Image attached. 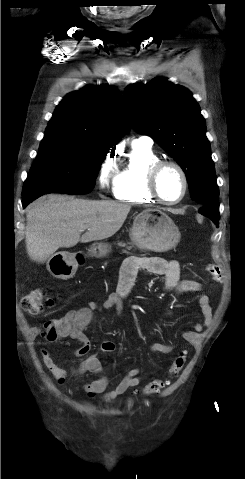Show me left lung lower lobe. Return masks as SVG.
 Instances as JSON below:
<instances>
[{
  "label": "left lung lower lobe",
  "instance_id": "obj_1",
  "mask_svg": "<svg viewBox=\"0 0 245 479\" xmlns=\"http://www.w3.org/2000/svg\"><path fill=\"white\" fill-rule=\"evenodd\" d=\"M199 212L202 215L209 217L217 227L219 226V204L217 201L202 206Z\"/></svg>",
  "mask_w": 245,
  "mask_h": 479
}]
</instances>
